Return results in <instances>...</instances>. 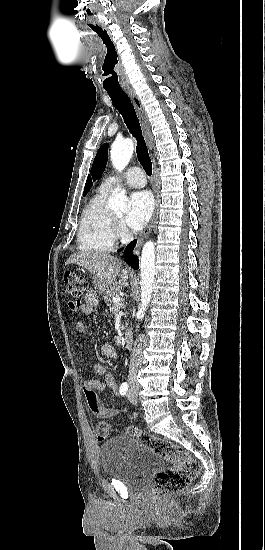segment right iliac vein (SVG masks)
Masks as SVG:
<instances>
[{"label": "right iliac vein", "mask_w": 265, "mask_h": 550, "mask_svg": "<svg viewBox=\"0 0 265 550\" xmlns=\"http://www.w3.org/2000/svg\"><path fill=\"white\" fill-rule=\"evenodd\" d=\"M131 393H132V394H135V393H136V391H135V390H131Z\"/></svg>", "instance_id": "obj_1"}]
</instances>
